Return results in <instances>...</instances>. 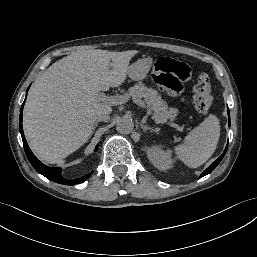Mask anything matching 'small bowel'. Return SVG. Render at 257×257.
<instances>
[{
  "mask_svg": "<svg viewBox=\"0 0 257 257\" xmlns=\"http://www.w3.org/2000/svg\"><path fill=\"white\" fill-rule=\"evenodd\" d=\"M155 88L168 98L181 96L191 82V68L182 61L167 56L157 57L150 66Z\"/></svg>",
  "mask_w": 257,
  "mask_h": 257,
  "instance_id": "1",
  "label": "small bowel"
}]
</instances>
